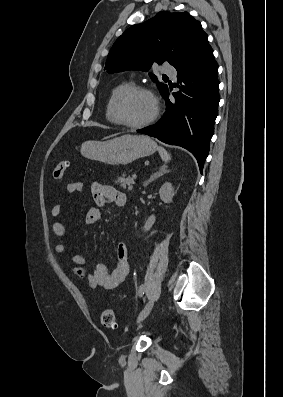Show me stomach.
<instances>
[{"mask_svg":"<svg viewBox=\"0 0 283 397\" xmlns=\"http://www.w3.org/2000/svg\"><path fill=\"white\" fill-rule=\"evenodd\" d=\"M157 148V144L148 136L127 134L107 141H86L80 152L91 160L125 165L153 154Z\"/></svg>","mask_w":283,"mask_h":397,"instance_id":"1","label":"stomach"}]
</instances>
